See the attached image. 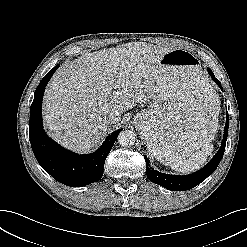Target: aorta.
Listing matches in <instances>:
<instances>
[{
  "label": "aorta",
  "instance_id": "obj_1",
  "mask_svg": "<svg viewBox=\"0 0 247 247\" xmlns=\"http://www.w3.org/2000/svg\"><path fill=\"white\" fill-rule=\"evenodd\" d=\"M118 142L123 147H129L135 143V134L130 130L121 131L118 135Z\"/></svg>",
  "mask_w": 247,
  "mask_h": 247
}]
</instances>
